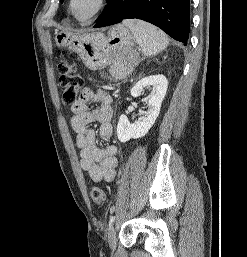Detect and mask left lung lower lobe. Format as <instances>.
Segmentation results:
<instances>
[{
  "instance_id": "obj_1",
  "label": "left lung lower lobe",
  "mask_w": 247,
  "mask_h": 257,
  "mask_svg": "<svg viewBox=\"0 0 247 257\" xmlns=\"http://www.w3.org/2000/svg\"><path fill=\"white\" fill-rule=\"evenodd\" d=\"M150 22L177 41L187 44L190 30L189 0H107L95 28L109 26L123 19Z\"/></svg>"
}]
</instances>
